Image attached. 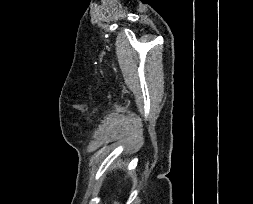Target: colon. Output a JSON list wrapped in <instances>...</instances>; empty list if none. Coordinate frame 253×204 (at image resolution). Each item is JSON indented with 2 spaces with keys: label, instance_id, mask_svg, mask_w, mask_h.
Here are the masks:
<instances>
[{
  "label": "colon",
  "instance_id": "1",
  "mask_svg": "<svg viewBox=\"0 0 253 204\" xmlns=\"http://www.w3.org/2000/svg\"><path fill=\"white\" fill-rule=\"evenodd\" d=\"M114 204H119L118 202H115Z\"/></svg>",
  "mask_w": 253,
  "mask_h": 204
}]
</instances>
